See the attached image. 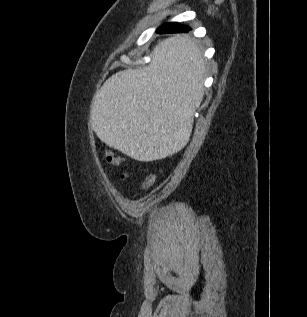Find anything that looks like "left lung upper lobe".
Returning a JSON list of instances; mask_svg holds the SVG:
<instances>
[{
  "instance_id": "5c2ea615",
  "label": "left lung upper lobe",
  "mask_w": 307,
  "mask_h": 317,
  "mask_svg": "<svg viewBox=\"0 0 307 317\" xmlns=\"http://www.w3.org/2000/svg\"><path fill=\"white\" fill-rule=\"evenodd\" d=\"M170 24H172V25H171L172 27H179V26H181V24L175 23V22H170Z\"/></svg>"
}]
</instances>
